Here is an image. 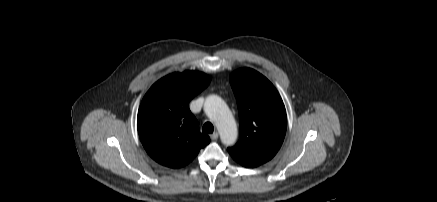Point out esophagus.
<instances>
[{"label":"esophagus","mask_w":437,"mask_h":202,"mask_svg":"<svg viewBox=\"0 0 437 202\" xmlns=\"http://www.w3.org/2000/svg\"><path fill=\"white\" fill-rule=\"evenodd\" d=\"M218 136H219V134H218L217 132H214V133H212V134L210 135V138H211L212 140H216V139L218 138Z\"/></svg>","instance_id":"obj_1"}]
</instances>
